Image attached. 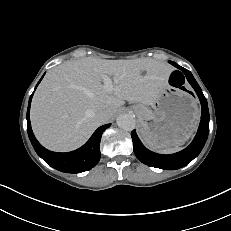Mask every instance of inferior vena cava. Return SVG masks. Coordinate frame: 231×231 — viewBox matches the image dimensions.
<instances>
[{"label":"inferior vena cava","instance_id":"inferior-vena-cava-1","mask_svg":"<svg viewBox=\"0 0 231 231\" xmlns=\"http://www.w3.org/2000/svg\"><path fill=\"white\" fill-rule=\"evenodd\" d=\"M98 117L103 121L106 122L109 119V113L106 110H102L98 113Z\"/></svg>","mask_w":231,"mask_h":231}]
</instances>
